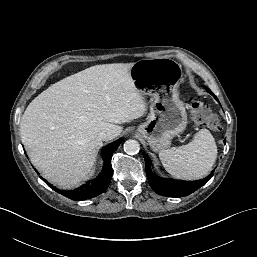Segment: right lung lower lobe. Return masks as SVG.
I'll list each match as a JSON object with an SVG mask.
<instances>
[{
	"mask_svg": "<svg viewBox=\"0 0 257 257\" xmlns=\"http://www.w3.org/2000/svg\"><path fill=\"white\" fill-rule=\"evenodd\" d=\"M121 139L117 140L116 142L109 144L102 149V155L104 160L103 168L100 174L92 179L87 181L82 186L78 187L75 190L71 191H59L54 188L60 194L66 196L72 200H86L93 197H96L103 193L109 186L111 177H112V165H111V158L113 152L118 148L120 145Z\"/></svg>",
	"mask_w": 257,
	"mask_h": 257,
	"instance_id": "right-lung-lower-lobe-1",
	"label": "right lung lower lobe"
}]
</instances>
